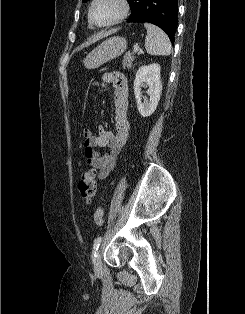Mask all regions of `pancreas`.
Here are the masks:
<instances>
[{
	"label": "pancreas",
	"mask_w": 245,
	"mask_h": 314,
	"mask_svg": "<svg viewBox=\"0 0 245 314\" xmlns=\"http://www.w3.org/2000/svg\"><path fill=\"white\" fill-rule=\"evenodd\" d=\"M135 57L132 55V53L128 52L124 55L123 59V68L124 69H131L132 62L134 61Z\"/></svg>",
	"instance_id": "cf45deb5"
}]
</instances>
